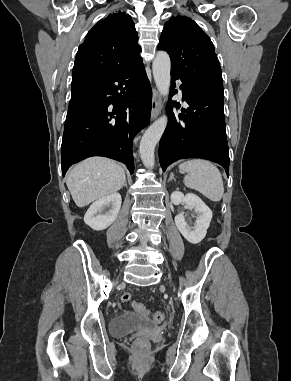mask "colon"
<instances>
[{"mask_svg":"<svg viewBox=\"0 0 291 381\" xmlns=\"http://www.w3.org/2000/svg\"><path fill=\"white\" fill-rule=\"evenodd\" d=\"M121 300L122 302L127 303L131 300V295L129 293H124L121 296ZM132 306L137 313H139L142 316L152 318V320L158 324L162 323L165 320V314L163 312L157 311L151 313L141 302H133ZM147 346L148 343L146 341L138 339L135 342V348L139 352L144 351L147 348Z\"/></svg>","mask_w":291,"mask_h":381,"instance_id":"1","label":"colon"}]
</instances>
